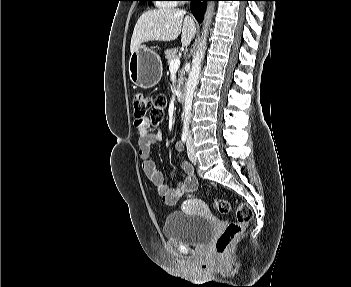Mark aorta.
<instances>
[{
	"label": "aorta",
	"instance_id": "762f6f07",
	"mask_svg": "<svg viewBox=\"0 0 351 287\" xmlns=\"http://www.w3.org/2000/svg\"><path fill=\"white\" fill-rule=\"evenodd\" d=\"M212 11H213V8H212V5H210L208 7L206 14H205L204 27H203V32L201 35V40H200V43L198 45V49L196 51V54L192 60V67H191V70L189 72V76H188L187 83H186V93H185V99H184V113H183L185 127L188 126L189 121H190L193 94H194L195 88L198 84L202 61H203L204 56H205L208 27L210 26V23H211Z\"/></svg>",
	"mask_w": 351,
	"mask_h": 287
}]
</instances>
